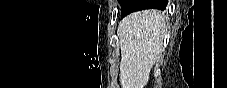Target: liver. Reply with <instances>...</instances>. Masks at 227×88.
I'll return each mask as SVG.
<instances>
[{
  "label": "liver",
  "mask_w": 227,
  "mask_h": 88,
  "mask_svg": "<svg viewBox=\"0 0 227 88\" xmlns=\"http://www.w3.org/2000/svg\"><path fill=\"white\" fill-rule=\"evenodd\" d=\"M166 16L157 9L131 13L118 26L122 88H144L165 38Z\"/></svg>",
  "instance_id": "1"
}]
</instances>
